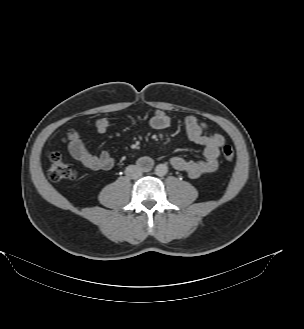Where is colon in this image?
Returning a JSON list of instances; mask_svg holds the SVG:
<instances>
[{"label": "colon", "mask_w": 304, "mask_h": 329, "mask_svg": "<svg viewBox=\"0 0 304 329\" xmlns=\"http://www.w3.org/2000/svg\"><path fill=\"white\" fill-rule=\"evenodd\" d=\"M222 156L231 161L235 157L232 146L225 145L222 148ZM75 171L59 151L50 154L49 177L54 182L65 183L75 179Z\"/></svg>", "instance_id": "obj_1"}]
</instances>
